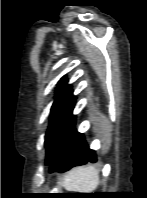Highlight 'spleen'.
Wrapping results in <instances>:
<instances>
[{
    "instance_id": "3e777b00",
    "label": "spleen",
    "mask_w": 147,
    "mask_h": 198,
    "mask_svg": "<svg viewBox=\"0 0 147 198\" xmlns=\"http://www.w3.org/2000/svg\"><path fill=\"white\" fill-rule=\"evenodd\" d=\"M98 183L99 173L92 165L74 168L62 180V186L66 190L77 193H92Z\"/></svg>"
}]
</instances>
